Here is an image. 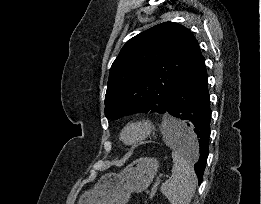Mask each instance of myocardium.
Here are the masks:
<instances>
[{"mask_svg": "<svg viewBox=\"0 0 261 204\" xmlns=\"http://www.w3.org/2000/svg\"><path fill=\"white\" fill-rule=\"evenodd\" d=\"M135 129L138 134L131 140L125 139L127 131ZM154 131V124L148 118H133L127 121L120 131V141L126 146H137L147 140Z\"/></svg>", "mask_w": 261, "mask_h": 204, "instance_id": "f54148a6", "label": "myocardium"}]
</instances>
